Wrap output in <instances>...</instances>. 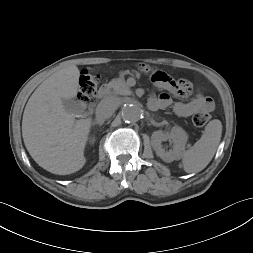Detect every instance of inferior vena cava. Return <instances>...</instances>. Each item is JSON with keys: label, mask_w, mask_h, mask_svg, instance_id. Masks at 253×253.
<instances>
[{"label": "inferior vena cava", "mask_w": 253, "mask_h": 253, "mask_svg": "<svg viewBox=\"0 0 253 253\" xmlns=\"http://www.w3.org/2000/svg\"><path fill=\"white\" fill-rule=\"evenodd\" d=\"M116 110V105L111 100L101 101L96 108V120L104 121L110 118Z\"/></svg>", "instance_id": "1"}]
</instances>
